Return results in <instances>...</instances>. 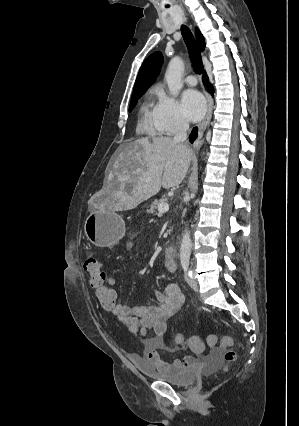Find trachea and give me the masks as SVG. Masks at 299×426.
<instances>
[{
  "label": "trachea",
  "mask_w": 299,
  "mask_h": 426,
  "mask_svg": "<svg viewBox=\"0 0 299 426\" xmlns=\"http://www.w3.org/2000/svg\"><path fill=\"white\" fill-rule=\"evenodd\" d=\"M181 33L188 48L192 64L196 72L201 74L203 72V63L199 48L194 40V37L189 28L184 25L181 27Z\"/></svg>",
  "instance_id": "obj_1"
}]
</instances>
